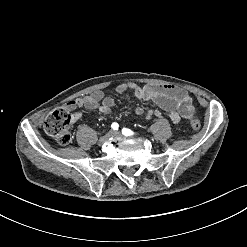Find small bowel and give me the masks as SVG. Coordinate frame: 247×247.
<instances>
[{"label":"small bowel","mask_w":247,"mask_h":247,"mask_svg":"<svg viewBox=\"0 0 247 247\" xmlns=\"http://www.w3.org/2000/svg\"><path fill=\"white\" fill-rule=\"evenodd\" d=\"M116 92L123 94L132 93L137 99L143 101H153L160 109L149 111L145 114V120H150L153 116H161L163 111L168 113L169 119L173 124L180 121V116L186 122L194 121L197 118V109L192 105V99L189 93L178 86L147 84L139 86L136 83H121L116 86ZM115 101L112 97L105 96L103 91L96 90L90 95L68 101L64 108L67 111H74L78 108L98 110L104 114H110ZM143 108L137 106L134 113L137 116L143 114ZM81 113H74V121L81 118Z\"/></svg>","instance_id":"small-bowel-1"}]
</instances>
